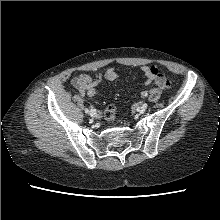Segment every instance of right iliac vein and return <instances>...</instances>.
<instances>
[{
	"instance_id": "63e3f726",
	"label": "right iliac vein",
	"mask_w": 220,
	"mask_h": 220,
	"mask_svg": "<svg viewBox=\"0 0 220 220\" xmlns=\"http://www.w3.org/2000/svg\"><path fill=\"white\" fill-rule=\"evenodd\" d=\"M89 114H90L91 117H95L96 116V111L94 109H92Z\"/></svg>"
}]
</instances>
